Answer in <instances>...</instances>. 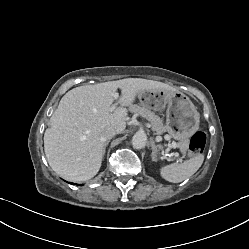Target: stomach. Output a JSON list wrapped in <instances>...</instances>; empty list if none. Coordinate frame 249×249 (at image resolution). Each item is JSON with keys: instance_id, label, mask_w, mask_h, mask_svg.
<instances>
[{"instance_id": "stomach-1", "label": "stomach", "mask_w": 249, "mask_h": 249, "mask_svg": "<svg viewBox=\"0 0 249 249\" xmlns=\"http://www.w3.org/2000/svg\"><path fill=\"white\" fill-rule=\"evenodd\" d=\"M142 105L154 110L167 106L166 128L171 136L185 141L199 128L200 116L191 100L182 92L143 90L138 93ZM159 146V149H162Z\"/></svg>"}]
</instances>
